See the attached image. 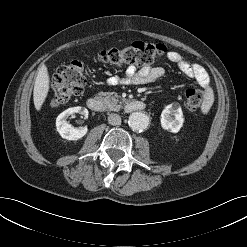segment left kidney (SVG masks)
<instances>
[{"instance_id": "5707ae66", "label": "left kidney", "mask_w": 247, "mask_h": 247, "mask_svg": "<svg viewBox=\"0 0 247 247\" xmlns=\"http://www.w3.org/2000/svg\"><path fill=\"white\" fill-rule=\"evenodd\" d=\"M160 122L163 129L172 133L179 132L184 123L180 105L177 103L167 105L161 113Z\"/></svg>"}]
</instances>
